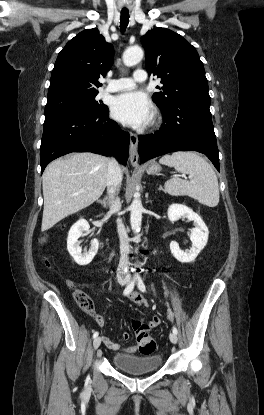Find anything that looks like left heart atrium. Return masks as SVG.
Instances as JSON below:
<instances>
[{"instance_id":"39dd6f15","label":"left heart atrium","mask_w":264,"mask_h":415,"mask_svg":"<svg viewBox=\"0 0 264 415\" xmlns=\"http://www.w3.org/2000/svg\"><path fill=\"white\" fill-rule=\"evenodd\" d=\"M113 116L133 127L144 126L153 116V106L142 92H126L115 97L112 104Z\"/></svg>"}]
</instances>
